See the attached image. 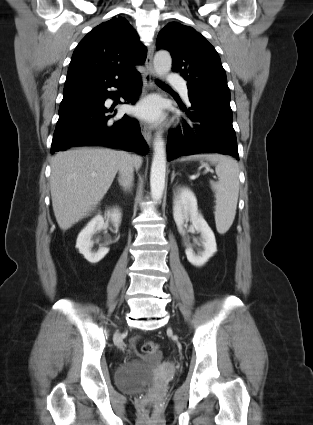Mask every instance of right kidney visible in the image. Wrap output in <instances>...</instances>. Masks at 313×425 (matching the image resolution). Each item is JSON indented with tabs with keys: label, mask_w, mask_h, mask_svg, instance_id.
I'll use <instances>...</instances> for the list:
<instances>
[{
	"label": "right kidney",
	"mask_w": 313,
	"mask_h": 425,
	"mask_svg": "<svg viewBox=\"0 0 313 425\" xmlns=\"http://www.w3.org/2000/svg\"><path fill=\"white\" fill-rule=\"evenodd\" d=\"M121 212L118 208L109 210L105 216L111 219L115 227H118L121 222ZM104 218L102 215L95 216L86 227L79 233L76 241V248L90 263H98L109 252V248L104 245L97 252H92L93 246L92 236L103 228Z\"/></svg>",
	"instance_id": "ca27d5eb"
}]
</instances>
